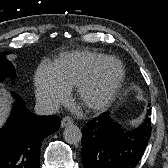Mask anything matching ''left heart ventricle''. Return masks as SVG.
I'll list each match as a JSON object with an SVG mask.
<instances>
[{"label":"left heart ventricle","mask_w":168,"mask_h":168,"mask_svg":"<svg viewBox=\"0 0 168 168\" xmlns=\"http://www.w3.org/2000/svg\"><path fill=\"white\" fill-rule=\"evenodd\" d=\"M116 72H117V70H116V67L114 65H112V64L108 65L106 67V69L103 71L99 82L90 91V96L92 98H97L98 96H100L101 93L106 88V86L115 77Z\"/></svg>","instance_id":"b2bd125f"}]
</instances>
